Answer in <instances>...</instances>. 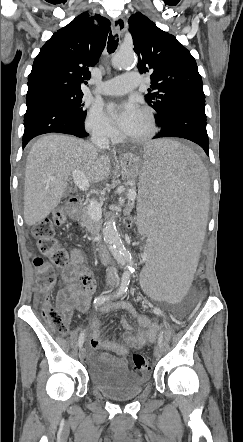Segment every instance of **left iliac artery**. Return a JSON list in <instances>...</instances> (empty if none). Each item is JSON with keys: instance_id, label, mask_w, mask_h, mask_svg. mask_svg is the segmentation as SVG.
<instances>
[{"instance_id": "obj_1", "label": "left iliac artery", "mask_w": 243, "mask_h": 442, "mask_svg": "<svg viewBox=\"0 0 243 442\" xmlns=\"http://www.w3.org/2000/svg\"><path fill=\"white\" fill-rule=\"evenodd\" d=\"M153 312L158 315V316H162L163 312L160 308H154ZM163 343V332H160L159 337H158V344L159 346H162Z\"/></svg>"}]
</instances>
